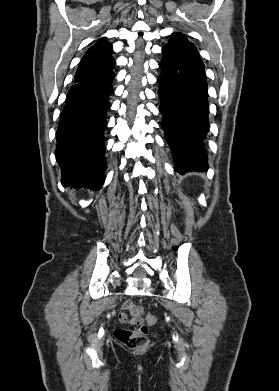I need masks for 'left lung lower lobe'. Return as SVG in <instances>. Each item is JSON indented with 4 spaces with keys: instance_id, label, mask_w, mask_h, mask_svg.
<instances>
[{
    "instance_id": "obj_1",
    "label": "left lung lower lobe",
    "mask_w": 279,
    "mask_h": 391,
    "mask_svg": "<svg viewBox=\"0 0 279 391\" xmlns=\"http://www.w3.org/2000/svg\"><path fill=\"white\" fill-rule=\"evenodd\" d=\"M158 78L161 126L172 150L175 171L208 169L203 138L209 128L204 65L183 52L163 47Z\"/></svg>"
}]
</instances>
